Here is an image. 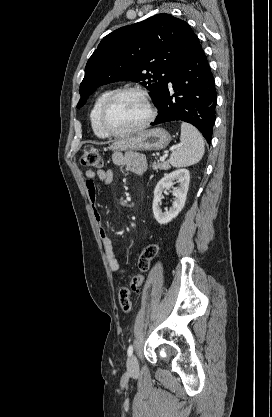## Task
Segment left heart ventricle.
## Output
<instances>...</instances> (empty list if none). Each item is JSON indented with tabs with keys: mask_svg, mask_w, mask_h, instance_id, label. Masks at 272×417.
Returning <instances> with one entry per match:
<instances>
[{
	"mask_svg": "<svg viewBox=\"0 0 272 417\" xmlns=\"http://www.w3.org/2000/svg\"><path fill=\"white\" fill-rule=\"evenodd\" d=\"M147 114L146 105L138 95L124 94L111 104L106 124L112 131L124 132L141 124Z\"/></svg>",
	"mask_w": 272,
	"mask_h": 417,
	"instance_id": "left-heart-ventricle-1",
	"label": "left heart ventricle"
}]
</instances>
